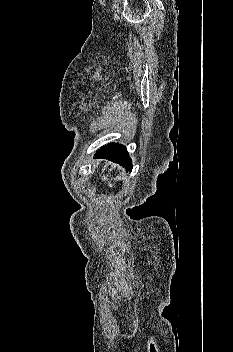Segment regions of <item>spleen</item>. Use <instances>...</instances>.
<instances>
[{"label":"spleen","instance_id":"3e777b00","mask_svg":"<svg viewBox=\"0 0 233 352\" xmlns=\"http://www.w3.org/2000/svg\"><path fill=\"white\" fill-rule=\"evenodd\" d=\"M102 180H106V177L104 176V177L102 178ZM109 186L112 187V184L109 183Z\"/></svg>","mask_w":233,"mask_h":352}]
</instances>
